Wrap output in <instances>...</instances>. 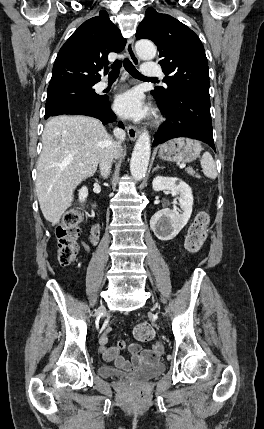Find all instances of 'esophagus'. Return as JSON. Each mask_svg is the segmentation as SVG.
Returning <instances> with one entry per match:
<instances>
[{"mask_svg": "<svg viewBox=\"0 0 264 429\" xmlns=\"http://www.w3.org/2000/svg\"><path fill=\"white\" fill-rule=\"evenodd\" d=\"M133 43H134L133 39H129L127 41L126 52L128 54L129 59L131 60V62L134 65L138 66L140 61H139V58L137 57V55L134 51ZM126 129H127L128 137L133 141L136 140V138L138 137V134H139L138 129L132 125H128Z\"/></svg>", "mask_w": 264, "mask_h": 429, "instance_id": "obj_1", "label": "esophagus"}]
</instances>
